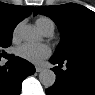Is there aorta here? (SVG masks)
I'll use <instances>...</instances> for the list:
<instances>
[{
  "label": "aorta",
  "mask_w": 95,
  "mask_h": 95,
  "mask_svg": "<svg viewBox=\"0 0 95 95\" xmlns=\"http://www.w3.org/2000/svg\"><path fill=\"white\" fill-rule=\"evenodd\" d=\"M21 37L26 41H34L38 39V33L32 26H25L21 32ZM56 80L55 73L50 69H44L39 73V81L43 86L49 88L54 85Z\"/></svg>",
  "instance_id": "762f6f07"
}]
</instances>
